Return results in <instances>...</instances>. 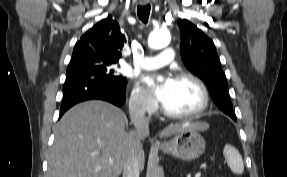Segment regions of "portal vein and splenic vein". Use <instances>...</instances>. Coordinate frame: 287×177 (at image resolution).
I'll use <instances>...</instances> for the list:
<instances>
[{
	"label": "portal vein and splenic vein",
	"mask_w": 287,
	"mask_h": 177,
	"mask_svg": "<svg viewBox=\"0 0 287 177\" xmlns=\"http://www.w3.org/2000/svg\"><path fill=\"white\" fill-rule=\"evenodd\" d=\"M109 162H113V159H109ZM201 176V173L200 172H198L196 175H195V177H200Z\"/></svg>",
	"instance_id": "18ae733b"
}]
</instances>
